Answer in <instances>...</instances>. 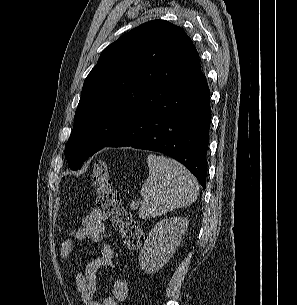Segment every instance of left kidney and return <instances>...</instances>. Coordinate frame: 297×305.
<instances>
[{
  "label": "left kidney",
  "instance_id": "5707ae66",
  "mask_svg": "<svg viewBox=\"0 0 297 305\" xmlns=\"http://www.w3.org/2000/svg\"><path fill=\"white\" fill-rule=\"evenodd\" d=\"M188 227L185 217L167 218L151 230L139 254V263L147 274L158 272L174 255Z\"/></svg>",
  "mask_w": 297,
  "mask_h": 305
}]
</instances>
